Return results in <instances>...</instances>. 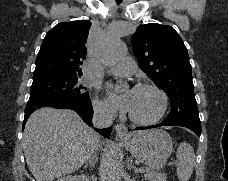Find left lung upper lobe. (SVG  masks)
I'll list each match as a JSON object with an SVG mask.
<instances>
[{"mask_svg":"<svg viewBox=\"0 0 228 181\" xmlns=\"http://www.w3.org/2000/svg\"><path fill=\"white\" fill-rule=\"evenodd\" d=\"M131 41L142 71L170 99L171 112L163 122L172 126L201 127L192 68L178 33L171 26L149 23L139 26Z\"/></svg>","mask_w":228,"mask_h":181,"instance_id":"5c2ea615","label":"left lung upper lobe"}]
</instances>
